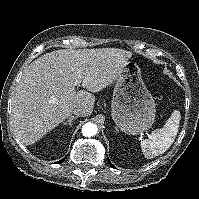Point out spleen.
Listing matches in <instances>:
<instances>
[{"label": "spleen", "mask_w": 199, "mask_h": 199, "mask_svg": "<svg viewBox=\"0 0 199 199\" xmlns=\"http://www.w3.org/2000/svg\"><path fill=\"white\" fill-rule=\"evenodd\" d=\"M181 120L180 111L174 110L161 129L154 130L148 139L141 142V150L147 159L166 152L175 140Z\"/></svg>", "instance_id": "obj_1"}]
</instances>
